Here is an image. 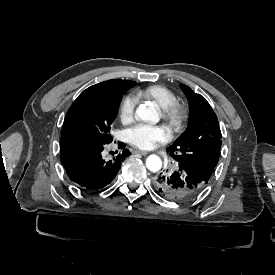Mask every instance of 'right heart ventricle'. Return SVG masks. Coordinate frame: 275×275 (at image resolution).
Instances as JSON below:
<instances>
[{"mask_svg":"<svg viewBox=\"0 0 275 275\" xmlns=\"http://www.w3.org/2000/svg\"><path fill=\"white\" fill-rule=\"evenodd\" d=\"M139 97L154 100L161 107H165L173 102H176V97L169 89L162 85L153 84L137 91Z\"/></svg>","mask_w":275,"mask_h":275,"instance_id":"1","label":"right heart ventricle"}]
</instances>
